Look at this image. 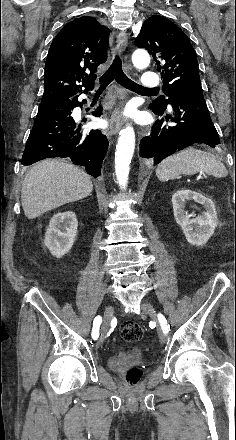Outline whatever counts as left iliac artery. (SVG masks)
<instances>
[{"mask_svg": "<svg viewBox=\"0 0 236 440\" xmlns=\"http://www.w3.org/2000/svg\"><path fill=\"white\" fill-rule=\"evenodd\" d=\"M158 319H159V322H160V325L162 327L163 332L165 334H168L169 325L167 323V320L165 319V317L161 313L158 314Z\"/></svg>", "mask_w": 236, "mask_h": 440, "instance_id": "left-iliac-artery-1", "label": "left iliac artery"}]
</instances>
